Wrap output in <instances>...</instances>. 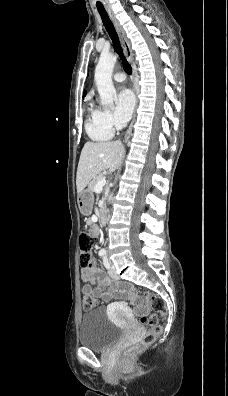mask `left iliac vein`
<instances>
[{"instance_id": "obj_1", "label": "left iliac vein", "mask_w": 228, "mask_h": 396, "mask_svg": "<svg viewBox=\"0 0 228 396\" xmlns=\"http://www.w3.org/2000/svg\"><path fill=\"white\" fill-rule=\"evenodd\" d=\"M108 273L110 275L111 278L113 279H118V275L116 273L115 267L114 265L110 264V267L108 269Z\"/></svg>"}]
</instances>
